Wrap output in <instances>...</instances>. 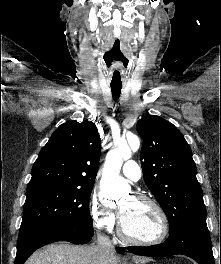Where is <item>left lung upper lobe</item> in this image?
<instances>
[{
	"instance_id": "obj_1",
	"label": "left lung upper lobe",
	"mask_w": 221,
	"mask_h": 264,
	"mask_svg": "<svg viewBox=\"0 0 221 264\" xmlns=\"http://www.w3.org/2000/svg\"><path fill=\"white\" fill-rule=\"evenodd\" d=\"M136 128L143 138L140 154L143 177L167 215L170 230L206 225L196 165L182 133L159 116L140 119Z\"/></svg>"
}]
</instances>
